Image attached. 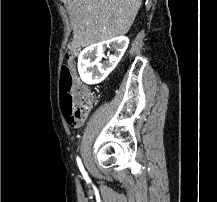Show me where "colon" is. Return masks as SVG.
I'll list each match as a JSON object with an SVG mask.
<instances>
[{"instance_id":"1","label":"colon","mask_w":217,"mask_h":202,"mask_svg":"<svg viewBox=\"0 0 217 202\" xmlns=\"http://www.w3.org/2000/svg\"><path fill=\"white\" fill-rule=\"evenodd\" d=\"M79 47H67L66 55L63 59L66 60V67H61L60 71V90L62 91L61 103L65 112H62V117H67L68 124L72 128H83V123H78L83 115V111H90L91 104L96 103L95 93H77L84 91L83 80H77L79 73V63H69L72 60V55H77ZM81 108V109H79Z\"/></svg>"}]
</instances>
